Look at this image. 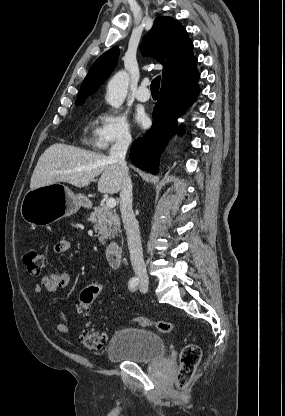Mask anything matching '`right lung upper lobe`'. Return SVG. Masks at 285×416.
I'll list each match as a JSON object with an SVG mask.
<instances>
[{
  "label": "right lung upper lobe",
  "mask_w": 285,
  "mask_h": 416,
  "mask_svg": "<svg viewBox=\"0 0 285 416\" xmlns=\"http://www.w3.org/2000/svg\"><path fill=\"white\" fill-rule=\"evenodd\" d=\"M142 42V54L154 57L163 65L162 86L197 71V58L192 52L193 43L177 20L157 17ZM118 54L119 49L113 47L94 62L81 85L76 105H82L88 96L97 91L116 67Z\"/></svg>",
  "instance_id": "right-lung-upper-lobe-1"
}]
</instances>
